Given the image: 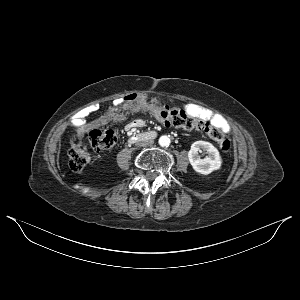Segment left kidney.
<instances>
[{"mask_svg": "<svg viewBox=\"0 0 300 300\" xmlns=\"http://www.w3.org/2000/svg\"><path fill=\"white\" fill-rule=\"evenodd\" d=\"M201 150L206 151L208 156L201 159L198 152ZM189 162L193 169L203 175H208L211 172L220 169L222 159L219 151L211 143L206 141H195L191 145V149L188 152Z\"/></svg>", "mask_w": 300, "mask_h": 300, "instance_id": "5707ae66", "label": "left kidney"}]
</instances>
